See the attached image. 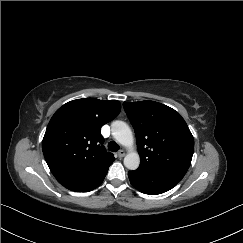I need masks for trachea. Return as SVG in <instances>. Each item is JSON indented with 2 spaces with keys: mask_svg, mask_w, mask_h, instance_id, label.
Here are the masks:
<instances>
[{
  "mask_svg": "<svg viewBox=\"0 0 243 243\" xmlns=\"http://www.w3.org/2000/svg\"><path fill=\"white\" fill-rule=\"evenodd\" d=\"M108 149L112 152H117L120 149V147L116 142L110 141L108 143Z\"/></svg>",
  "mask_w": 243,
  "mask_h": 243,
  "instance_id": "1",
  "label": "trachea"
}]
</instances>
